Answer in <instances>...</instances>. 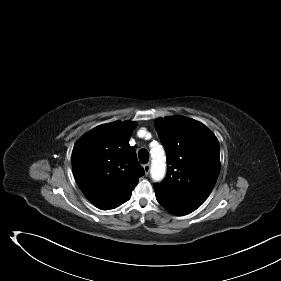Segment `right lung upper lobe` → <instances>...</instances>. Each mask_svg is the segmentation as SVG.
<instances>
[{
  "mask_svg": "<svg viewBox=\"0 0 281 281\" xmlns=\"http://www.w3.org/2000/svg\"><path fill=\"white\" fill-rule=\"evenodd\" d=\"M135 122L116 121L100 125L84 135L74 146L72 168L85 195L102 210L114 209L131 197L144 175L129 140Z\"/></svg>",
  "mask_w": 281,
  "mask_h": 281,
  "instance_id": "cb5924a9",
  "label": "right lung upper lobe"
}]
</instances>
